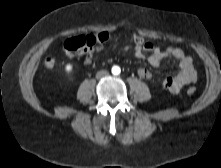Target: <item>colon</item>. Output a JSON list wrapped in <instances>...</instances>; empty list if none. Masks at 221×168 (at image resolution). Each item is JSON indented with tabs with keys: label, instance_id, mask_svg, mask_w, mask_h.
I'll list each match as a JSON object with an SVG mask.
<instances>
[{
	"label": "colon",
	"instance_id": "5ec220e1",
	"mask_svg": "<svg viewBox=\"0 0 221 168\" xmlns=\"http://www.w3.org/2000/svg\"><path fill=\"white\" fill-rule=\"evenodd\" d=\"M120 42L118 35H111L108 32H99L98 34H89L72 37L64 43V52L67 57L73 58L83 54H87L93 50L98 44L113 45ZM130 43L133 46L145 47L148 44V39L142 37L140 34H133L130 38ZM46 68L52 69L56 65V61L52 57H48L44 62ZM196 92L195 87H190L187 90L189 95H193Z\"/></svg>",
	"mask_w": 221,
	"mask_h": 168
}]
</instances>
